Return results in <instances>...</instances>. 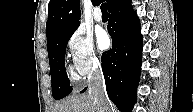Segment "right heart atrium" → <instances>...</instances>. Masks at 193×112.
I'll list each match as a JSON object with an SVG mask.
<instances>
[{"label":"right heart atrium","instance_id":"right-heart-atrium-1","mask_svg":"<svg viewBox=\"0 0 193 112\" xmlns=\"http://www.w3.org/2000/svg\"><path fill=\"white\" fill-rule=\"evenodd\" d=\"M67 52L71 67L78 77H87L101 68V60L95 51L91 35L82 27L68 37Z\"/></svg>","mask_w":193,"mask_h":112}]
</instances>
